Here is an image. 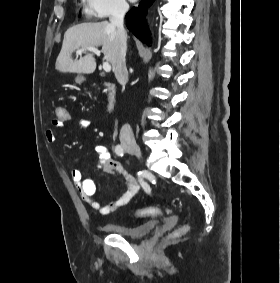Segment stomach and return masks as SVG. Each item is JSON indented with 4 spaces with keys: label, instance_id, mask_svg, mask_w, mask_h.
Masks as SVG:
<instances>
[{
    "label": "stomach",
    "instance_id": "0dacf381",
    "mask_svg": "<svg viewBox=\"0 0 280 283\" xmlns=\"http://www.w3.org/2000/svg\"><path fill=\"white\" fill-rule=\"evenodd\" d=\"M82 81H84V77L78 76V77L76 78V82L81 83Z\"/></svg>",
    "mask_w": 280,
    "mask_h": 283
}]
</instances>
